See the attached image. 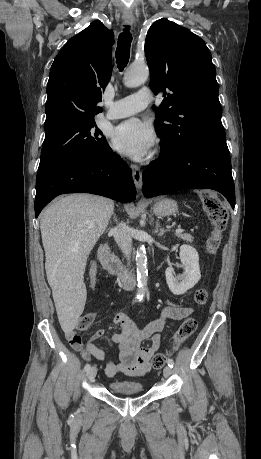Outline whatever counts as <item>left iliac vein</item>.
Returning a JSON list of instances; mask_svg holds the SVG:
<instances>
[{
	"mask_svg": "<svg viewBox=\"0 0 261 459\" xmlns=\"http://www.w3.org/2000/svg\"><path fill=\"white\" fill-rule=\"evenodd\" d=\"M171 374H172V368L169 366H166L163 370L164 377L168 378Z\"/></svg>",
	"mask_w": 261,
	"mask_h": 459,
	"instance_id": "obj_1",
	"label": "left iliac vein"
}]
</instances>
